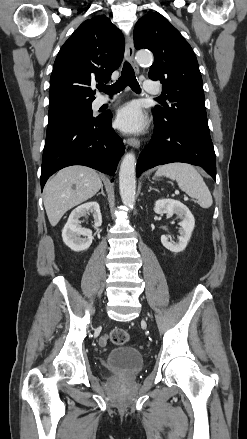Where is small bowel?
Returning a JSON list of instances; mask_svg holds the SVG:
<instances>
[{
    "mask_svg": "<svg viewBox=\"0 0 247 439\" xmlns=\"http://www.w3.org/2000/svg\"><path fill=\"white\" fill-rule=\"evenodd\" d=\"M106 341H107L106 337H102V338L100 339V344H101V345H105V344H106Z\"/></svg>",
    "mask_w": 247,
    "mask_h": 439,
    "instance_id": "obj_1",
    "label": "small bowel"
}]
</instances>
